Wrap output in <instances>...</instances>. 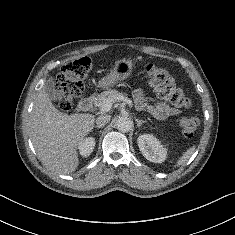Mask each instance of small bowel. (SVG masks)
<instances>
[{
    "instance_id": "small-bowel-1",
    "label": "small bowel",
    "mask_w": 235,
    "mask_h": 235,
    "mask_svg": "<svg viewBox=\"0 0 235 235\" xmlns=\"http://www.w3.org/2000/svg\"><path fill=\"white\" fill-rule=\"evenodd\" d=\"M133 97L138 109L147 111L157 119H166L180 113L178 107L170 106L166 103L149 102L144 92L140 89L134 92Z\"/></svg>"
}]
</instances>
